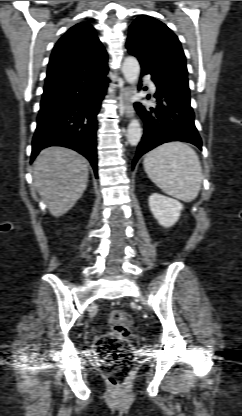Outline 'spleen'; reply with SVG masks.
I'll return each instance as SVG.
<instances>
[{"label":"spleen","mask_w":242,"mask_h":416,"mask_svg":"<svg viewBox=\"0 0 242 416\" xmlns=\"http://www.w3.org/2000/svg\"><path fill=\"white\" fill-rule=\"evenodd\" d=\"M148 177L163 192L185 202L194 200L203 179L198 155L183 142L162 144L145 155Z\"/></svg>","instance_id":"spleen-1"}]
</instances>
